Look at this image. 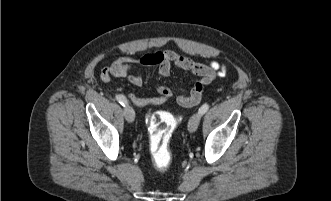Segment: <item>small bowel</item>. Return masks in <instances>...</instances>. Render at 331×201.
<instances>
[{
  "mask_svg": "<svg viewBox=\"0 0 331 201\" xmlns=\"http://www.w3.org/2000/svg\"><path fill=\"white\" fill-rule=\"evenodd\" d=\"M133 64H138L142 67L157 66L158 74L163 78L168 77L172 67L175 66L199 76L200 79H207V84L210 83L216 75H226V67L218 62L204 65L175 51L167 50L165 52L148 53L139 58L133 56L119 57L110 66L102 70L101 77L104 81L110 80L111 77L127 78L132 85L139 87L142 85L143 79L140 75L132 72ZM157 92L159 96L154 98H141L135 94H130L129 97L131 101L138 106L162 104L171 97V91L166 86H158ZM184 97L185 94L181 93L179 102Z\"/></svg>",
  "mask_w": 331,
  "mask_h": 201,
  "instance_id": "c3829d8e",
  "label": "small bowel"
}]
</instances>
